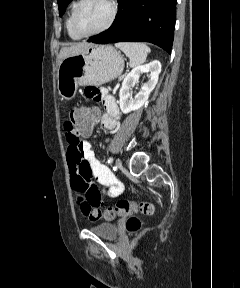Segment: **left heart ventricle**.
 <instances>
[{
	"instance_id": "obj_1",
	"label": "left heart ventricle",
	"mask_w": 240,
	"mask_h": 288,
	"mask_svg": "<svg viewBox=\"0 0 240 288\" xmlns=\"http://www.w3.org/2000/svg\"><path fill=\"white\" fill-rule=\"evenodd\" d=\"M109 14L107 0H86L76 17L77 29L82 33L95 31L106 23Z\"/></svg>"
}]
</instances>
